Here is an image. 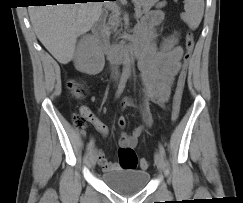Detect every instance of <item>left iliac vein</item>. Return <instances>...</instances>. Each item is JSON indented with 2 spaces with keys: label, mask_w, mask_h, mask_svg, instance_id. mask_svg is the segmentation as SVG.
<instances>
[{
  "label": "left iliac vein",
  "mask_w": 243,
  "mask_h": 203,
  "mask_svg": "<svg viewBox=\"0 0 243 203\" xmlns=\"http://www.w3.org/2000/svg\"><path fill=\"white\" fill-rule=\"evenodd\" d=\"M155 164L158 167L159 170H162L164 168V157L160 152H156L154 156Z\"/></svg>",
  "instance_id": "obj_1"
}]
</instances>
